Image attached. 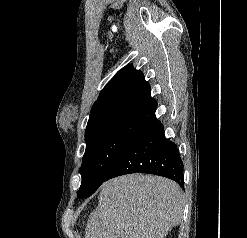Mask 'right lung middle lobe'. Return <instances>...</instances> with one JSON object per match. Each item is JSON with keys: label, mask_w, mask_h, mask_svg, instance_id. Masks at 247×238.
Listing matches in <instances>:
<instances>
[{"label": "right lung middle lobe", "mask_w": 247, "mask_h": 238, "mask_svg": "<svg viewBox=\"0 0 247 238\" xmlns=\"http://www.w3.org/2000/svg\"><path fill=\"white\" fill-rule=\"evenodd\" d=\"M146 123L142 119L119 120L85 136L86 150L80 168L82 183L77 197L87 198L99 188L113 164Z\"/></svg>", "instance_id": "1"}]
</instances>
